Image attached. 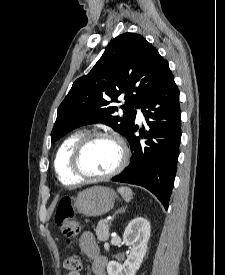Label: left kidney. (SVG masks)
<instances>
[{
  "instance_id": "obj_1",
  "label": "left kidney",
  "mask_w": 225,
  "mask_h": 275,
  "mask_svg": "<svg viewBox=\"0 0 225 275\" xmlns=\"http://www.w3.org/2000/svg\"><path fill=\"white\" fill-rule=\"evenodd\" d=\"M150 232V222L142 217H137L128 224L123 241L130 246L131 252L123 265L110 261L107 266L108 275H135L146 255Z\"/></svg>"
}]
</instances>
